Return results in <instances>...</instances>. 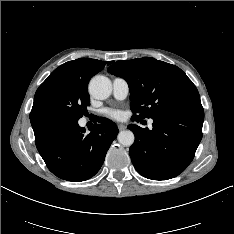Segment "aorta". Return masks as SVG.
Masks as SVG:
<instances>
[{
    "label": "aorta",
    "instance_id": "1",
    "mask_svg": "<svg viewBox=\"0 0 234 234\" xmlns=\"http://www.w3.org/2000/svg\"><path fill=\"white\" fill-rule=\"evenodd\" d=\"M89 92L96 99H107L112 92V83L105 76H96L89 83ZM117 139L121 145L131 146L135 137L132 131L123 130L119 132Z\"/></svg>",
    "mask_w": 234,
    "mask_h": 234
}]
</instances>
